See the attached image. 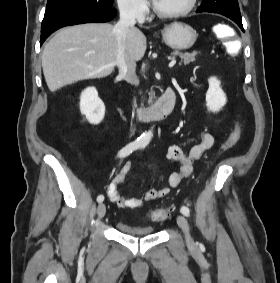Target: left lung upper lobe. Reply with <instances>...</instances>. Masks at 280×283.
I'll return each instance as SVG.
<instances>
[{
	"instance_id": "left-lung-upper-lobe-1",
	"label": "left lung upper lobe",
	"mask_w": 280,
	"mask_h": 283,
	"mask_svg": "<svg viewBox=\"0 0 280 283\" xmlns=\"http://www.w3.org/2000/svg\"><path fill=\"white\" fill-rule=\"evenodd\" d=\"M197 12H211L222 14L228 18H241L237 0H203Z\"/></svg>"
}]
</instances>
